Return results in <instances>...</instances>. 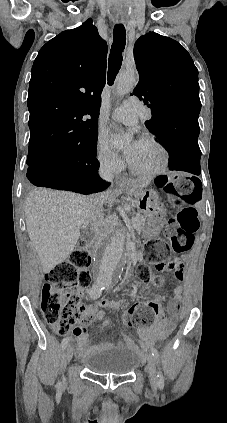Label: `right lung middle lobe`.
Instances as JSON below:
<instances>
[{"instance_id": "1", "label": "right lung middle lobe", "mask_w": 227, "mask_h": 423, "mask_svg": "<svg viewBox=\"0 0 227 423\" xmlns=\"http://www.w3.org/2000/svg\"><path fill=\"white\" fill-rule=\"evenodd\" d=\"M97 138H98V132L93 133L85 137L83 140L79 141L78 143H75L65 148L47 151V152L38 153V154H31V155L28 154L27 165H31L37 161H40L43 157L49 154L57 155L64 158H79V157L88 156V155H96Z\"/></svg>"}]
</instances>
